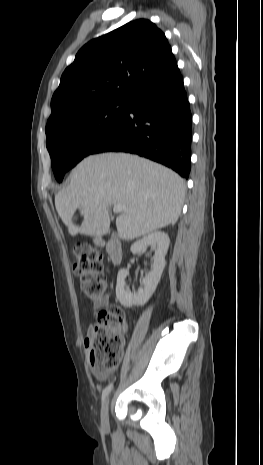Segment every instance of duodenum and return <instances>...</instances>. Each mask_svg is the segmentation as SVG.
<instances>
[{
	"label": "duodenum",
	"mask_w": 263,
	"mask_h": 465,
	"mask_svg": "<svg viewBox=\"0 0 263 465\" xmlns=\"http://www.w3.org/2000/svg\"><path fill=\"white\" fill-rule=\"evenodd\" d=\"M108 258L113 265H118L123 257L122 246L117 240H109L103 243Z\"/></svg>",
	"instance_id": "duodenum-1"
}]
</instances>
